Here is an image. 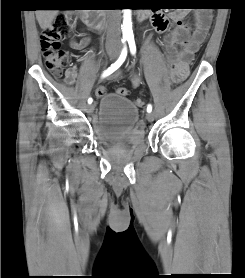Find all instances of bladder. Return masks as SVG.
Masks as SVG:
<instances>
[{"instance_id":"obj_1","label":"bladder","mask_w":245,"mask_h":278,"mask_svg":"<svg viewBox=\"0 0 245 278\" xmlns=\"http://www.w3.org/2000/svg\"><path fill=\"white\" fill-rule=\"evenodd\" d=\"M97 140L106 145L134 148L145 141L137 106L128 98L106 93L98 107V118L93 125Z\"/></svg>"}]
</instances>
